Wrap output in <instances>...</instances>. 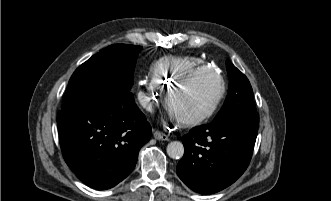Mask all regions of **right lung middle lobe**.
Returning a JSON list of instances; mask_svg holds the SVG:
<instances>
[{
  "mask_svg": "<svg viewBox=\"0 0 331 201\" xmlns=\"http://www.w3.org/2000/svg\"><path fill=\"white\" fill-rule=\"evenodd\" d=\"M141 46L115 44L102 49L73 73L62 110L119 93L130 92L133 71Z\"/></svg>",
  "mask_w": 331,
  "mask_h": 201,
  "instance_id": "dd1d6c3e",
  "label": "right lung middle lobe"
}]
</instances>
